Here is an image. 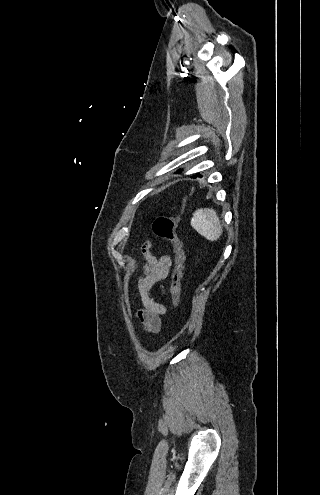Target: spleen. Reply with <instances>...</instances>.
Returning <instances> with one entry per match:
<instances>
[{
  "instance_id": "1",
  "label": "spleen",
  "mask_w": 320,
  "mask_h": 495,
  "mask_svg": "<svg viewBox=\"0 0 320 495\" xmlns=\"http://www.w3.org/2000/svg\"><path fill=\"white\" fill-rule=\"evenodd\" d=\"M192 227L210 241H216L223 233L220 219L214 209L201 208L193 213Z\"/></svg>"
}]
</instances>
